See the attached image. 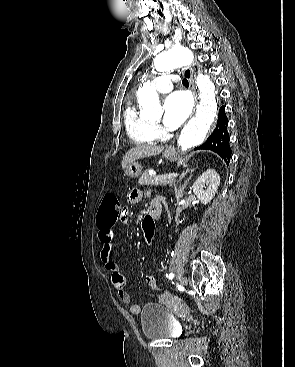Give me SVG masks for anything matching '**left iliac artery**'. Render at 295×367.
Masks as SVG:
<instances>
[{
    "instance_id": "1",
    "label": "left iliac artery",
    "mask_w": 295,
    "mask_h": 367,
    "mask_svg": "<svg viewBox=\"0 0 295 367\" xmlns=\"http://www.w3.org/2000/svg\"><path fill=\"white\" fill-rule=\"evenodd\" d=\"M173 277H174V274L173 273H170L169 276H168L169 280H172Z\"/></svg>"
}]
</instances>
